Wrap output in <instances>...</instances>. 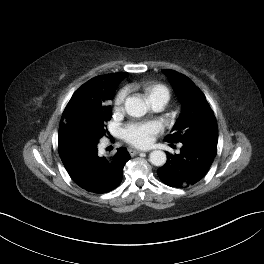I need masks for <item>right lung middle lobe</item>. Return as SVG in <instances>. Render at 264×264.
Masks as SVG:
<instances>
[{"instance_id":"1","label":"right lung middle lobe","mask_w":264,"mask_h":264,"mask_svg":"<svg viewBox=\"0 0 264 264\" xmlns=\"http://www.w3.org/2000/svg\"><path fill=\"white\" fill-rule=\"evenodd\" d=\"M111 119V106L99 103L95 107L73 115L59 130L58 140L90 138L99 140L108 133L105 122Z\"/></svg>"}]
</instances>
